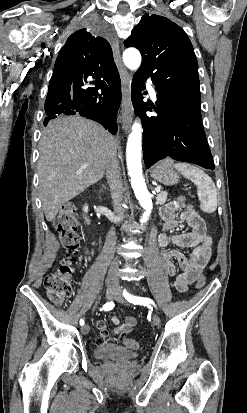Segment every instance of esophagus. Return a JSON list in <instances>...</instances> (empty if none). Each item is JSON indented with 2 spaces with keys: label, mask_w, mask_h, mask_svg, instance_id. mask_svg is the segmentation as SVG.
Instances as JSON below:
<instances>
[{
  "label": "esophagus",
  "mask_w": 247,
  "mask_h": 413,
  "mask_svg": "<svg viewBox=\"0 0 247 413\" xmlns=\"http://www.w3.org/2000/svg\"><path fill=\"white\" fill-rule=\"evenodd\" d=\"M111 47L113 50V56L117 68L119 70V74L121 77V85H122V102H121V123L122 129L125 132H128L130 129V125L132 123L134 109L131 101L130 96V85L131 79L126 67L123 65L119 47V39L115 36L111 40Z\"/></svg>",
  "instance_id": "1"
}]
</instances>
